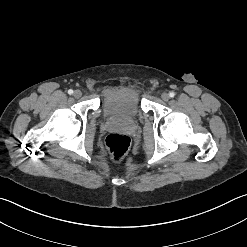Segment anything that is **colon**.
<instances>
[{
    "label": "colon",
    "mask_w": 247,
    "mask_h": 247,
    "mask_svg": "<svg viewBox=\"0 0 247 247\" xmlns=\"http://www.w3.org/2000/svg\"><path fill=\"white\" fill-rule=\"evenodd\" d=\"M105 143L111 157L118 161L127 154L131 145V140L125 134L112 133L106 137Z\"/></svg>",
    "instance_id": "colon-1"
}]
</instances>
